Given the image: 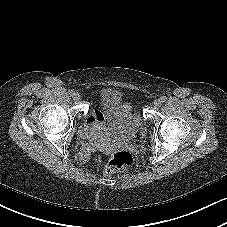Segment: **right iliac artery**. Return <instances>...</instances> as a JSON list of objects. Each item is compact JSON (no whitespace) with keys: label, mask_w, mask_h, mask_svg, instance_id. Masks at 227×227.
<instances>
[{"label":"right iliac artery","mask_w":227,"mask_h":227,"mask_svg":"<svg viewBox=\"0 0 227 227\" xmlns=\"http://www.w3.org/2000/svg\"><path fill=\"white\" fill-rule=\"evenodd\" d=\"M74 93H75V92H74L73 90L69 91L70 96H73Z\"/></svg>","instance_id":"1"}]
</instances>
